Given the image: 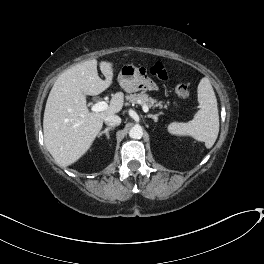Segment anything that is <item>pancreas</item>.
Here are the masks:
<instances>
[{"label":"pancreas","mask_w":264,"mask_h":264,"mask_svg":"<svg viewBox=\"0 0 264 264\" xmlns=\"http://www.w3.org/2000/svg\"><path fill=\"white\" fill-rule=\"evenodd\" d=\"M126 99L132 104H140L141 106L146 105L149 108L151 107L166 108L167 107L166 104L164 105L163 101H158L157 99L149 97L148 94L145 93V91H142L141 93H138V94H130L126 97Z\"/></svg>","instance_id":"cf45deb5"}]
</instances>
